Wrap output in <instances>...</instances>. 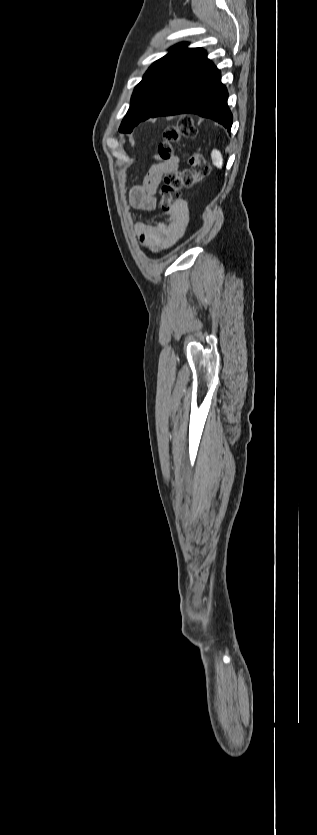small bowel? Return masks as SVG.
Returning a JSON list of instances; mask_svg holds the SVG:
<instances>
[{
	"instance_id": "c3829d8e",
	"label": "small bowel",
	"mask_w": 317,
	"mask_h": 835,
	"mask_svg": "<svg viewBox=\"0 0 317 835\" xmlns=\"http://www.w3.org/2000/svg\"><path fill=\"white\" fill-rule=\"evenodd\" d=\"M146 174L143 184H133L128 189V200L131 206L144 212L156 209V193L165 174L175 172L179 168V159H158ZM188 214L183 203L176 206L171 214L163 221L149 225L138 222L134 225L135 232L142 246L152 252L170 248L186 230Z\"/></svg>"
}]
</instances>
